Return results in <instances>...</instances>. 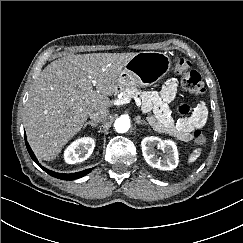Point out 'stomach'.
Returning a JSON list of instances; mask_svg holds the SVG:
<instances>
[{"label": "stomach", "instance_id": "stomach-1", "mask_svg": "<svg viewBox=\"0 0 243 243\" xmlns=\"http://www.w3.org/2000/svg\"><path fill=\"white\" fill-rule=\"evenodd\" d=\"M166 53L143 51L136 53L119 75L120 87L150 86L157 83L170 69Z\"/></svg>", "mask_w": 243, "mask_h": 243}]
</instances>
